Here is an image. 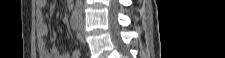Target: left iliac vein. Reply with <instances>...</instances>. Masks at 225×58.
Segmentation results:
<instances>
[{
    "mask_svg": "<svg viewBox=\"0 0 225 58\" xmlns=\"http://www.w3.org/2000/svg\"><path fill=\"white\" fill-rule=\"evenodd\" d=\"M79 35H80V37L84 36L82 20L79 21Z\"/></svg>",
    "mask_w": 225,
    "mask_h": 58,
    "instance_id": "1",
    "label": "left iliac vein"
}]
</instances>
